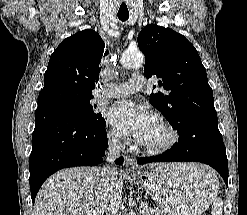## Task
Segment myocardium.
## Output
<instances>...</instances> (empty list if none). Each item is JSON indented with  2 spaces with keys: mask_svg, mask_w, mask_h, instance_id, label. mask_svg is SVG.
Returning <instances> with one entry per match:
<instances>
[{
  "mask_svg": "<svg viewBox=\"0 0 247 215\" xmlns=\"http://www.w3.org/2000/svg\"><path fill=\"white\" fill-rule=\"evenodd\" d=\"M158 124L166 134L164 141L159 144L142 145L144 151L153 155H158L169 151L178 141V132L170 122L165 119H159Z\"/></svg>",
  "mask_w": 247,
  "mask_h": 215,
  "instance_id": "1",
  "label": "myocardium"
}]
</instances>
